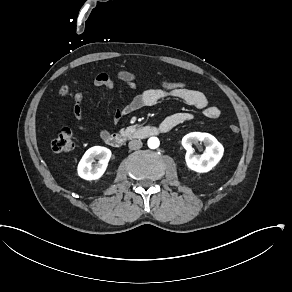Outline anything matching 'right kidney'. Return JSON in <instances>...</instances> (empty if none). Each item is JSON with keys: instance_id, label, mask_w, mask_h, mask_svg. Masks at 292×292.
<instances>
[{"instance_id": "ca27d5eb", "label": "right kidney", "mask_w": 292, "mask_h": 292, "mask_svg": "<svg viewBox=\"0 0 292 292\" xmlns=\"http://www.w3.org/2000/svg\"><path fill=\"white\" fill-rule=\"evenodd\" d=\"M112 152L110 149L102 146L89 148L77 165V175L84 180L93 181L100 179L107 170ZM98 159V164L92 162Z\"/></svg>"}]
</instances>
